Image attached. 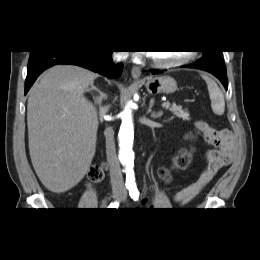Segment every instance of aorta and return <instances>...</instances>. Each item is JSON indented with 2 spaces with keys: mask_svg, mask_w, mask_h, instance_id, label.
Wrapping results in <instances>:
<instances>
[{
  "mask_svg": "<svg viewBox=\"0 0 260 260\" xmlns=\"http://www.w3.org/2000/svg\"><path fill=\"white\" fill-rule=\"evenodd\" d=\"M119 139V160L126 169V181L133 184L134 177V125L132 118V102H128L122 112V122L118 133Z\"/></svg>",
  "mask_w": 260,
  "mask_h": 260,
  "instance_id": "aorta-1",
  "label": "aorta"
}]
</instances>
